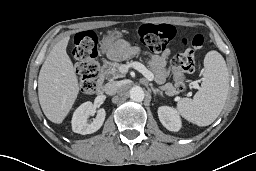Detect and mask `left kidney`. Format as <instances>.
Returning <instances> with one entry per match:
<instances>
[{
	"mask_svg": "<svg viewBox=\"0 0 256 171\" xmlns=\"http://www.w3.org/2000/svg\"><path fill=\"white\" fill-rule=\"evenodd\" d=\"M160 122L170 131H179L181 128V119L174 108L161 106L158 108Z\"/></svg>",
	"mask_w": 256,
	"mask_h": 171,
	"instance_id": "obj_1",
	"label": "left kidney"
}]
</instances>
